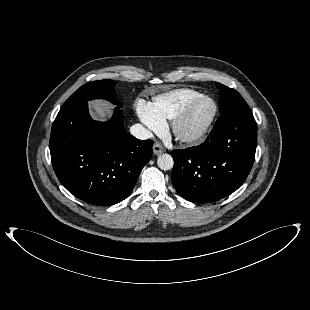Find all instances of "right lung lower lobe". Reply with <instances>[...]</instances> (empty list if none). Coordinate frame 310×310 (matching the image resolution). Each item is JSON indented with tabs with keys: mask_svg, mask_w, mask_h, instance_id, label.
<instances>
[{
	"mask_svg": "<svg viewBox=\"0 0 310 310\" xmlns=\"http://www.w3.org/2000/svg\"><path fill=\"white\" fill-rule=\"evenodd\" d=\"M153 142L125 131L120 109L108 122L93 121L86 101L61 108L51 130L50 153L61 184L82 201L113 205L128 197Z\"/></svg>",
	"mask_w": 310,
	"mask_h": 310,
	"instance_id": "obj_1",
	"label": "right lung lower lobe"
}]
</instances>
